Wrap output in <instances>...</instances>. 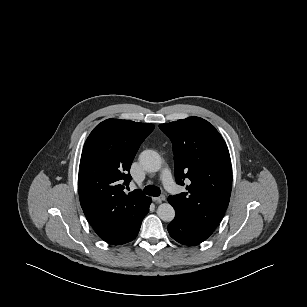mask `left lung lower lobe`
<instances>
[{
  "label": "left lung lower lobe",
  "mask_w": 307,
  "mask_h": 307,
  "mask_svg": "<svg viewBox=\"0 0 307 307\" xmlns=\"http://www.w3.org/2000/svg\"><path fill=\"white\" fill-rule=\"evenodd\" d=\"M168 232L177 242L189 246L197 245L211 235L195 227L177 212L174 220L168 225Z\"/></svg>",
  "instance_id": "1"
}]
</instances>
